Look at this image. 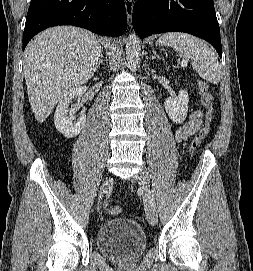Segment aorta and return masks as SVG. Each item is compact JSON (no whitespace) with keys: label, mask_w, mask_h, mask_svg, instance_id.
I'll use <instances>...</instances> for the list:
<instances>
[{"label":"aorta","mask_w":253,"mask_h":271,"mask_svg":"<svg viewBox=\"0 0 253 271\" xmlns=\"http://www.w3.org/2000/svg\"><path fill=\"white\" fill-rule=\"evenodd\" d=\"M126 57L129 69L131 71H136L141 60V44L135 33L128 36L126 44Z\"/></svg>","instance_id":"1"}]
</instances>
